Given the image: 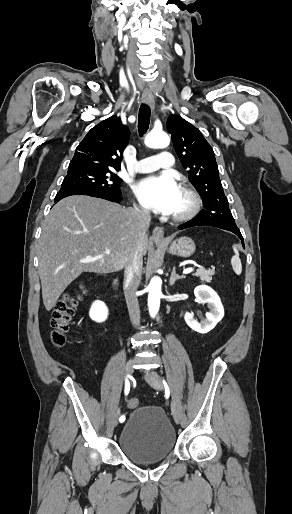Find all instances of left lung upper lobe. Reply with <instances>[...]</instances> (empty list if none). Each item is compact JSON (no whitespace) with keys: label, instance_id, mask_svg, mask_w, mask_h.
<instances>
[{"label":"left lung upper lobe","instance_id":"left-lung-upper-lobe-1","mask_svg":"<svg viewBox=\"0 0 292 514\" xmlns=\"http://www.w3.org/2000/svg\"><path fill=\"white\" fill-rule=\"evenodd\" d=\"M167 130L190 182L201 195L204 209L197 219L238 228L219 179L214 151L202 133L178 115L168 117Z\"/></svg>","mask_w":292,"mask_h":514}]
</instances>
